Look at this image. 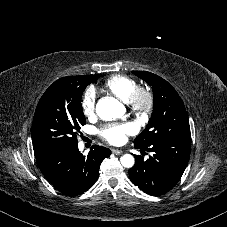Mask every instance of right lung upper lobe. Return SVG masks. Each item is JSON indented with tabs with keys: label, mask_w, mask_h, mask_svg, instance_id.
<instances>
[{
	"label": "right lung upper lobe",
	"mask_w": 227,
	"mask_h": 227,
	"mask_svg": "<svg viewBox=\"0 0 227 227\" xmlns=\"http://www.w3.org/2000/svg\"><path fill=\"white\" fill-rule=\"evenodd\" d=\"M73 77L74 76L63 77V78L58 79L57 81H55V83L66 82V81L72 80Z\"/></svg>",
	"instance_id": "1"
}]
</instances>
